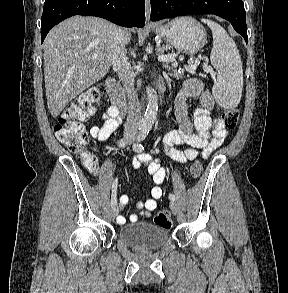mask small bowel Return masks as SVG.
<instances>
[{
	"label": "small bowel",
	"instance_id": "1",
	"mask_svg": "<svg viewBox=\"0 0 288 293\" xmlns=\"http://www.w3.org/2000/svg\"><path fill=\"white\" fill-rule=\"evenodd\" d=\"M190 99H198L200 107L193 113L190 119L187 112V102ZM214 99L211 93L204 89L203 83L196 78H189L182 84L180 92L175 99V115L178 121V129L168 132L164 139V149L168 157L186 163L196 159L199 154L208 158L227 137V130L222 120L213 117ZM101 126H93L90 135L93 139L104 142L118 128L121 122L120 112L111 106L102 116ZM186 145L185 150H179L175 146ZM142 165L151 176L153 186L150 189L151 198L137 201L138 212L129 216V221L137 222L140 216L149 217L156 210L157 201L163 195L162 183L166 177V170L158 161L152 160L149 154H140L130 163L129 167L138 170ZM129 202L127 195L119 198L120 207H125ZM119 224H124L126 218L119 216Z\"/></svg>",
	"mask_w": 288,
	"mask_h": 293
}]
</instances>
